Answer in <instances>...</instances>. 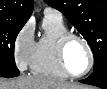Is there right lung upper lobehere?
I'll return each mask as SVG.
<instances>
[{"label":"right lung upper lobe","instance_id":"cb5924a9","mask_svg":"<svg viewBox=\"0 0 107 89\" xmlns=\"http://www.w3.org/2000/svg\"><path fill=\"white\" fill-rule=\"evenodd\" d=\"M33 10V0H0V19L27 22Z\"/></svg>","mask_w":107,"mask_h":89}]
</instances>
